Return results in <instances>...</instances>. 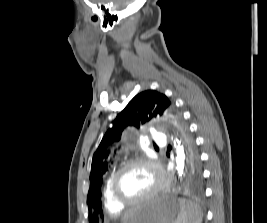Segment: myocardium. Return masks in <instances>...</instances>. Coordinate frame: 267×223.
I'll list each match as a JSON object with an SVG mask.
<instances>
[{"instance_id":"myocardium-1","label":"myocardium","mask_w":267,"mask_h":223,"mask_svg":"<svg viewBox=\"0 0 267 223\" xmlns=\"http://www.w3.org/2000/svg\"><path fill=\"white\" fill-rule=\"evenodd\" d=\"M134 165H146L150 168L153 169L155 175H156V185L154 188L145 194L144 196L140 197L139 199L136 200H126L120 196L118 193L117 189V183L118 179L121 176V174L128 169L131 166ZM165 185V175L160 167V165L153 159L149 157H135L133 159L128 160L125 162L112 176L111 181H110V190L112 197L114 200L121 206L124 207H133L140 205L142 203H145L149 201L150 199L154 198L156 195L160 193V191L164 188Z\"/></svg>"}]
</instances>
